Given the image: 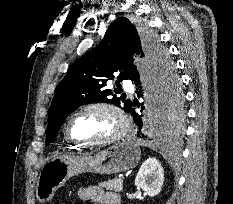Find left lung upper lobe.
Returning <instances> with one entry per match:
<instances>
[{"mask_svg": "<svg viewBox=\"0 0 233 204\" xmlns=\"http://www.w3.org/2000/svg\"><path fill=\"white\" fill-rule=\"evenodd\" d=\"M142 48L153 63L161 87L162 115L176 129L181 128L184 115L182 93L174 66L157 38L143 26L133 25L120 17L112 22L100 44L74 62L55 89L48 110L45 145H49L65 119L81 106L96 102L113 103L126 112L131 100L117 97L119 89H106L108 80L130 79L136 69L133 54L144 56ZM116 81L118 88L119 83Z\"/></svg>", "mask_w": 233, "mask_h": 204, "instance_id": "obj_1", "label": "left lung upper lobe"}]
</instances>
